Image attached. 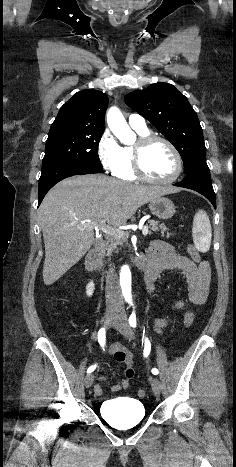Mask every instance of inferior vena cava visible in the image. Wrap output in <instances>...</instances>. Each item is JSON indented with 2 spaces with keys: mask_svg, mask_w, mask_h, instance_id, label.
<instances>
[{
  "mask_svg": "<svg viewBox=\"0 0 236 467\" xmlns=\"http://www.w3.org/2000/svg\"><path fill=\"white\" fill-rule=\"evenodd\" d=\"M105 296L107 307L123 308V297L118 276L115 271V267L112 264H110V268L106 276Z\"/></svg>",
  "mask_w": 236,
  "mask_h": 467,
  "instance_id": "1",
  "label": "inferior vena cava"
}]
</instances>
